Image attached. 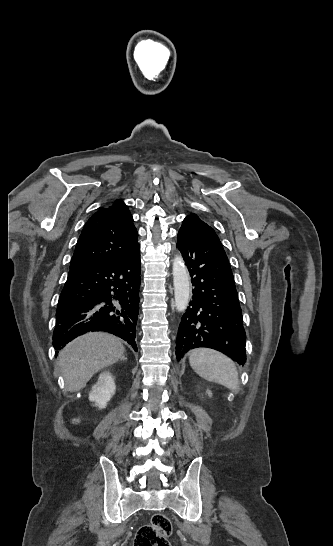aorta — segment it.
Masks as SVG:
<instances>
[{"label":"aorta","instance_id":"obj_1","mask_svg":"<svg viewBox=\"0 0 333 546\" xmlns=\"http://www.w3.org/2000/svg\"><path fill=\"white\" fill-rule=\"evenodd\" d=\"M173 282L175 307L177 311L184 312L190 300V278L181 256H176L173 260Z\"/></svg>","mask_w":333,"mask_h":546}]
</instances>
